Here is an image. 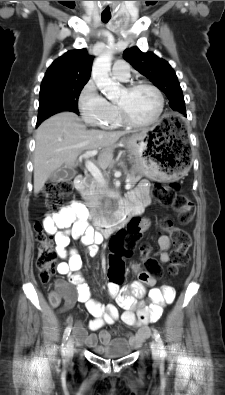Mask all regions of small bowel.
<instances>
[{"label":"small bowel","mask_w":225,"mask_h":395,"mask_svg":"<svg viewBox=\"0 0 225 395\" xmlns=\"http://www.w3.org/2000/svg\"><path fill=\"white\" fill-rule=\"evenodd\" d=\"M149 189L150 184L147 181H141L129 194L128 199L123 202L121 208L129 209L133 215L140 214L142 209L150 203ZM88 218L87 208L79 202H73L59 212L47 215L43 220L44 230L53 235L56 251L62 259L57 266V271L59 274L66 275L69 282L76 287V294L65 299L66 308L71 307L75 301L83 303L93 316L88 324L91 331H98L104 325L113 324L120 318L125 325L137 328V332L128 334L127 339L132 346H139L149 336L148 324L160 318L163 307L174 301L175 292L169 286L154 287L156 276L149 275L148 271H142L136 265L134 271L138 276L137 281L122 288H113L110 283L107 286L110 297L124 309L121 315L115 306H104L93 299L90 288L81 273L82 260L75 249L69 248L70 238L73 237L81 240L90 255L97 253L102 237L89 226ZM139 223L142 231L150 226L149 219H143V222ZM158 246L159 263L166 264L170 260L168 253L171 247L170 238L167 235H161L158 238ZM145 286L151 287L147 293L151 302L149 306H144L137 301V298L146 294ZM67 323L70 324L69 326L73 325V318L68 317ZM74 331L77 344L92 348H96L98 342L106 345L112 336V333L106 330H101L98 335L89 334L79 321L74 324Z\"/></svg>","instance_id":"small-bowel-1"}]
</instances>
